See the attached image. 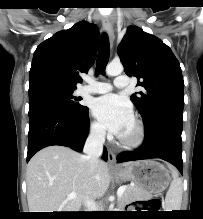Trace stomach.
Instances as JSON below:
<instances>
[{
  "label": "stomach",
  "mask_w": 203,
  "mask_h": 219,
  "mask_svg": "<svg viewBox=\"0 0 203 219\" xmlns=\"http://www.w3.org/2000/svg\"><path fill=\"white\" fill-rule=\"evenodd\" d=\"M113 173L119 180L134 182L149 196L163 192L171 182L167 168L155 160L131 162Z\"/></svg>",
  "instance_id": "1"
}]
</instances>
